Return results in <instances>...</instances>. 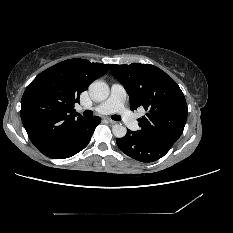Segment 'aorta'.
Returning a JSON list of instances; mask_svg holds the SVG:
<instances>
[{"instance_id": "obj_1", "label": "aorta", "mask_w": 233, "mask_h": 233, "mask_svg": "<svg viewBox=\"0 0 233 233\" xmlns=\"http://www.w3.org/2000/svg\"><path fill=\"white\" fill-rule=\"evenodd\" d=\"M110 93L109 86L103 81H94L89 86V94L95 101H104ZM112 132L115 137L122 138L126 135L127 129L121 124H115L112 127Z\"/></svg>"}]
</instances>
